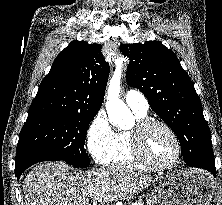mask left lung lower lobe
I'll return each instance as SVG.
<instances>
[{"instance_id": "left-lung-lower-lobe-1", "label": "left lung lower lobe", "mask_w": 222, "mask_h": 205, "mask_svg": "<svg viewBox=\"0 0 222 205\" xmlns=\"http://www.w3.org/2000/svg\"><path fill=\"white\" fill-rule=\"evenodd\" d=\"M183 157L187 166L208 170L215 176L216 174L215 163L212 160H207L205 158H201L193 154H187L184 155Z\"/></svg>"}]
</instances>
